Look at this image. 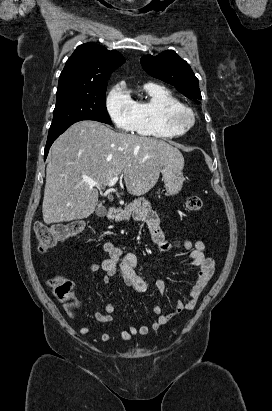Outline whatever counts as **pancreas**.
Instances as JSON below:
<instances>
[{
	"label": "pancreas",
	"mask_w": 272,
	"mask_h": 411,
	"mask_svg": "<svg viewBox=\"0 0 272 411\" xmlns=\"http://www.w3.org/2000/svg\"><path fill=\"white\" fill-rule=\"evenodd\" d=\"M145 208H151L150 202L146 200L144 197L138 198L134 200L133 202H131L130 204L125 206L118 220L119 221L129 220L131 215Z\"/></svg>",
	"instance_id": "1"
}]
</instances>
